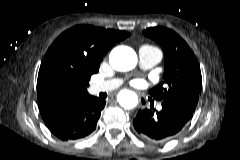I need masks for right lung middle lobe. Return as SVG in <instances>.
<instances>
[{"label": "right lung middle lobe", "instance_id": "1", "mask_svg": "<svg viewBox=\"0 0 240 160\" xmlns=\"http://www.w3.org/2000/svg\"><path fill=\"white\" fill-rule=\"evenodd\" d=\"M97 73L87 71L80 74H70L59 79V87L64 99H74L87 94V87L92 74Z\"/></svg>", "mask_w": 240, "mask_h": 160}]
</instances>
